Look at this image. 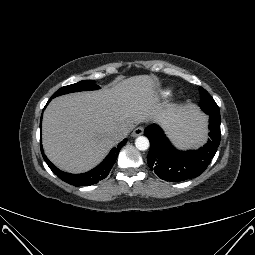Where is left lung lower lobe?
<instances>
[{
  "label": "left lung lower lobe",
  "instance_id": "1",
  "mask_svg": "<svg viewBox=\"0 0 255 255\" xmlns=\"http://www.w3.org/2000/svg\"><path fill=\"white\" fill-rule=\"evenodd\" d=\"M208 109V107H207ZM209 115V140L198 150L179 151L169 142L163 130L152 124L144 130L151 146L147 162L152 171L163 180L178 182L195 178L205 171L220 143V112Z\"/></svg>",
  "mask_w": 255,
  "mask_h": 255
}]
</instances>
